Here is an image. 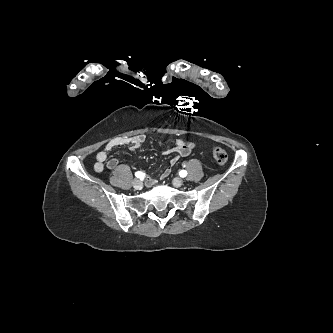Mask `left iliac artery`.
<instances>
[{"instance_id": "44dca946", "label": "left iliac artery", "mask_w": 333, "mask_h": 333, "mask_svg": "<svg viewBox=\"0 0 333 333\" xmlns=\"http://www.w3.org/2000/svg\"><path fill=\"white\" fill-rule=\"evenodd\" d=\"M179 175H180L181 177H186V175H187V171H186V170H181V171L179 172Z\"/></svg>"}]
</instances>
